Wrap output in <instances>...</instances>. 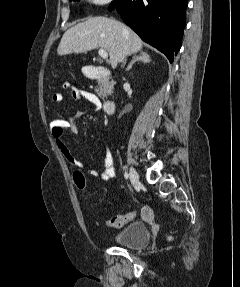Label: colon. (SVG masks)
<instances>
[{
    "instance_id": "1",
    "label": "colon",
    "mask_w": 240,
    "mask_h": 287,
    "mask_svg": "<svg viewBox=\"0 0 240 287\" xmlns=\"http://www.w3.org/2000/svg\"><path fill=\"white\" fill-rule=\"evenodd\" d=\"M67 119L64 117L57 115L52 118L50 121V129L52 132V135L55 136H62L64 135L65 131L67 130ZM73 181L76 185V187L81 190L85 191L86 189V179L82 172L75 171L73 173ZM134 213L128 212L124 215H116L111 217L110 219L104 220L105 224L112 226L114 228H121L123 227L128 221L133 219Z\"/></svg>"
}]
</instances>
